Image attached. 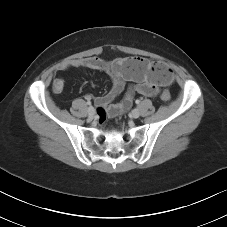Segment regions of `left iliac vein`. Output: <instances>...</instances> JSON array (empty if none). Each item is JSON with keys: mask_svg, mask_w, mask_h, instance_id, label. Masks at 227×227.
<instances>
[{"mask_svg": "<svg viewBox=\"0 0 227 227\" xmlns=\"http://www.w3.org/2000/svg\"><path fill=\"white\" fill-rule=\"evenodd\" d=\"M131 116L135 119L138 118L140 116V111L138 109H133L131 112Z\"/></svg>", "mask_w": 227, "mask_h": 227, "instance_id": "left-iliac-vein-1", "label": "left iliac vein"}]
</instances>
